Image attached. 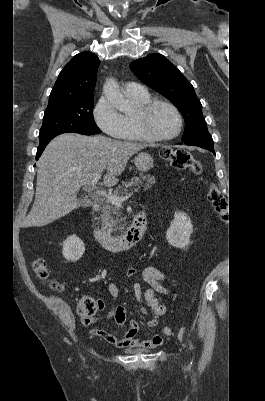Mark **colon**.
<instances>
[{"mask_svg":"<svg viewBox=\"0 0 265 401\" xmlns=\"http://www.w3.org/2000/svg\"><path fill=\"white\" fill-rule=\"evenodd\" d=\"M162 155L165 160H167L176 169H190L195 174L201 172V164L196 161L189 152L180 149H164ZM208 200L218 213V215L224 220L229 212V204L226 197L222 194L219 188L212 184L208 191ZM33 269L37 276L45 281H48L49 272L47 269L46 262L37 258L33 262ZM49 285L51 289L55 291H61L63 285L57 281H50ZM102 308V303L91 296L83 297L78 304V314L86 319L92 317L98 310ZM163 333L170 335L172 333L171 328L165 327Z\"/></svg>","mask_w":265,"mask_h":401,"instance_id":"obj_1","label":"colon"}]
</instances>
